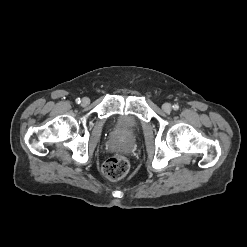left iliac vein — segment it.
<instances>
[{
    "instance_id": "left-iliac-vein-1",
    "label": "left iliac vein",
    "mask_w": 247,
    "mask_h": 247,
    "mask_svg": "<svg viewBox=\"0 0 247 247\" xmlns=\"http://www.w3.org/2000/svg\"><path fill=\"white\" fill-rule=\"evenodd\" d=\"M162 109L164 112L166 113H170L171 110H172V106L170 103H164L163 106H162Z\"/></svg>"
}]
</instances>
